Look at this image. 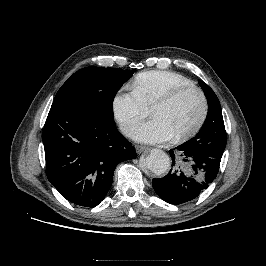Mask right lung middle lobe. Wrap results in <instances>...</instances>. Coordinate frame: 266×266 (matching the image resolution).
Returning a JSON list of instances; mask_svg holds the SVG:
<instances>
[{
  "label": "right lung middle lobe",
  "instance_id": "obj_1",
  "mask_svg": "<svg viewBox=\"0 0 266 266\" xmlns=\"http://www.w3.org/2000/svg\"><path fill=\"white\" fill-rule=\"evenodd\" d=\"M132 75V72L119 68L80 69L59 89L51 108L90 112L114 120L113 99Z\"/></svg>",
  "mask_w": 266,
  "mask_h": 266
}]
</instances>
